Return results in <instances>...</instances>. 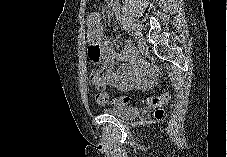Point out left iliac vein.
Here are the masks:
<instances>
[{"label": "left iliac vein", "instance_id": "4c4485c4", "mask_svg": "<svg viewBox=\"0 0 227 157\" xmlns=\"http://www.w3.org/2000/svg\"><path fill=\"white\" fill-rule=\"evenodd\" d=\"M135 38H136L140 52L143 54H146L148 52V47H147V44H146L143 36L137 32V37H135Z\"/></svg>", "mask_w": 227, "mask_h": 157}]
</instances>
